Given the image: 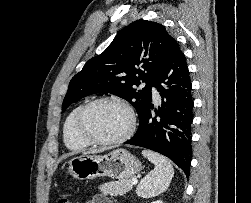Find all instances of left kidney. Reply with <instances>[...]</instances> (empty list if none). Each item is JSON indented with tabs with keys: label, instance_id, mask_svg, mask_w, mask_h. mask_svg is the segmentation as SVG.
Listing matches in <instances>:
<instances>
[{
	"label": "left kidney",
	"instance_id": "left-kidney-1",
	"mask_svg": "<svg viewBox=\"0 0 251 203\" xmlns=\"http://www.w3.org/2000/svg\"><path fill=\"white\" fill-rule=\"evenodd\" d=\"M151 203H163L161 200L153 201Z\"/></svg>",
	"mask_w": 251,
	"mask_h": 203
}]
</instances>
